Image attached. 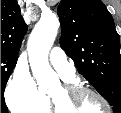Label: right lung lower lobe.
Listing matches in <instances>:
<instances>
[{
    "instance_id": "98d812e1",
    "label": "right lung lower lobe",
    "mask_w": 121,
    "mask_h": 113,
    "mask_svg": "<svg viewBox=\"0 0 121 113\" xmlns=\"http://www.w3.org/2000/svg\"><path fill=\"white\" fill-rule=\"evenodd\" d=\"M1 113H7V110L1 109Z\"/></svg>"
}]
</instances>
